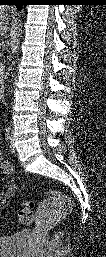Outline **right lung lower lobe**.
<instances>
[{
	"mask_svg": "<svg viewBox=\"0 0 106 257\" xmlns=\"http://www.w3.org/2000/svg\"><path fill=\"white\" fill-rule=\"evenodd\" d=\"M14 3H11V4H14L16 5L17 9L20 10V7L22 5V1L23 0H12Z\"/></svg>",
	"mask_w": 106,
	"mask_h": 257,
	"instance_id": "obj_1",
	"label": "right lung lower lobe"
}]
</instances>
